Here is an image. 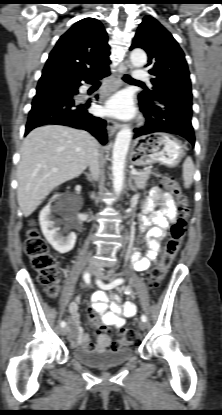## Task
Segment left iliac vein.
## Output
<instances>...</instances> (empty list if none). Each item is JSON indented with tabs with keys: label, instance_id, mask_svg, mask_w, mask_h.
<instances>
[{
	"label": "left iliac vein",
	"instance_id": "4c4485c4",
	"mask_svg": "<svg viewBox=\"0 0 222 415\" xmlns=\"http://www.w3.org/2000/svg\"><path fill=\"white\" fill-rule=\"evenodd\" d=\"M95 276L99 279V280H103V279H107V276H105L103 269L101 268H95L94 273ZM139 328L141 330H145L146 329V323L144 321H140L138 324Z\"/></svg>",
	"mask_w": 222,
	"mask_h": 415
}]
</instances>
